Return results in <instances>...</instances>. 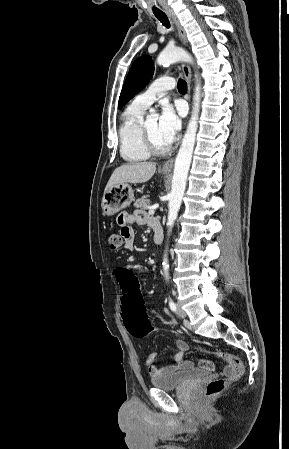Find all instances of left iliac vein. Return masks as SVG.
I'll list each match as a JSON object with an SVG mask.
<instances>
[{
  "instance_id": "obj_1",
  "label": "left iliac vein",
  "mask_w": 289,
  "mask_h": 449,
  "mask_svg": "<svg viewBox=\"0 0 289 449\" xmlns=\"http://www.w3.org/2000/svg\"><path fill=\"white\" fill-rule=\"evenodd\" d=\"M176 313H177V315H178L179 317H181V318L184 319V325H185L187 328L190 329V328H191L190 322H189L188 320L185 319L186 316H187V314H186V312L182 309V307H181L180 305H177Z\"/></svg>"
}]
</instances>
